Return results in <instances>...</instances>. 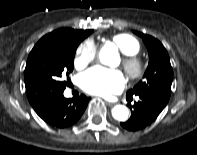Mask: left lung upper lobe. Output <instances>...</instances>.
Returning <instances> with one entry per match:
<instances>
[{"label":"left lung upper lobe","mask_w":197,"mask_h":155,"mask_svg":"<svg viewBox=\"0 0 197 155\" xmlns=\"http://www.w3.org/2000/svg\"><path fill=\"white\" fill-rule=\"evenodd\" d=\"M142 37L149 53V64L141 80L127 95H144L167 104L171 94L173 71L165 47L156 38L134 31Z\"/></svg>","instance_id":"1"}]
</instances>
